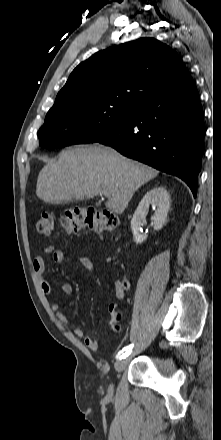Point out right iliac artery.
<instances>
[{"label": "right iliac artery", "mask_w": 221, "mask_h": 440, "mask_svg": "<svg viewBox=\"0 0 221 440\" xmlns=\"http://www.w3.org/2000/svg\"><path fill=\"white\" fill-rule=\"evenodd\" d=\"M133 345H129L126 348H123L117 355L116 359H124L131 354V348Z\"/></svg>", "instance_id": "obj_1"}]
</instances>
